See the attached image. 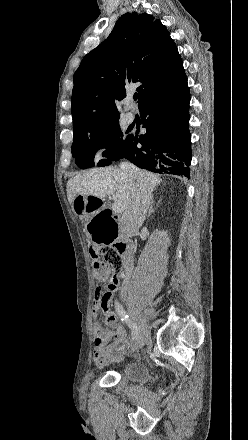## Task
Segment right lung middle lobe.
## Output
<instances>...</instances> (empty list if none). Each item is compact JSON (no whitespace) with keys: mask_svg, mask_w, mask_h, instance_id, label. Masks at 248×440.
Listing matches in <instances>:
<instances>
[{"mask_svg":"<svg viewBox=\"0 0 248 440\" xmlns=\"http://www.w3.org/2000/svg\"><path fill=\"white\" fill-rule=\"evenodd\" d=\"M130 136H125L120 129L119 123L107 127L83 132L74 135L72 154L76 158V164L82 169L95 165L94 154L98 149L109 148L103 152L107 159L100 160L98 166L111 164L112 160H119L127 150Z\"/></svg>","mask_w":248,"mask_h":440,"instance_id":"dd1d6c3e","label":"right lung middle lobe"}]
</instances>
